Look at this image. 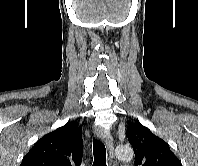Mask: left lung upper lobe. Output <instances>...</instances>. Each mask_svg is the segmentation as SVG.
Listing matches in <instances>:
<instances>
[{"label":"left lung upper lobe","instance_id":"obj_1","mask_svg":"<svg viewBox=\"0 0 198 166\" xmlns=\"http://www.w3.org/2000/svg\"><path fill=\"white\" fill-rule=\"evenodd\" d=\"M127 137L135 153L136 166H182L169 145L139 122L127 128Z\"/></svg>","mask_w":198,"mask_h":166}]
</instances>
